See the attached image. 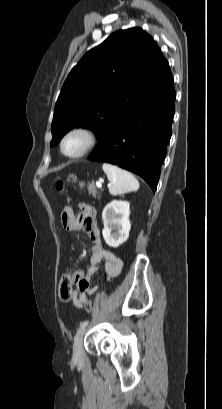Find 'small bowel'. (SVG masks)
<instances>
[{
	"label": "small bowel",
	"instance_id": "c3829d8e",
	"mask_svg": "<svg viewBox=\"0 0 222 409\" xmlns=\"http://www.w3.org/2000/svg\"><path fill=\"white\" fill-rule=\"evenodd\" d=\"M81 213L75 217L72 207L65 206L61 213L63 227L70 232L83 230L93 242L91 248L92 258L89 273L97 271L99 265L104 262L107 280L117 276L122 268V260L110 250L104 248L100 232L95 225L96 210L87 203H80ZM84 269H73L70 277L75 290L72 295L73 305L81 309L89 301V296L94 294L98 287L90 286L89 278L84 277Z\"/></svg>",
	"mask_w": 222,
	"mask_h": 409
}]
</instances>
